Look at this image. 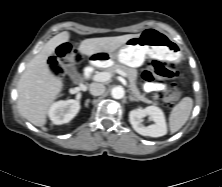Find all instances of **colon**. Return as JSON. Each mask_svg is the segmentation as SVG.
Segmentation results:
<instances>
[{
    "label": "colon",
    "mask_w": 222,
    "mask_h": 187,
    "mask_svg": "<svg viewBox=\"0 0 222 187\" xmlns=\"http://www.w3.org/2000/svg\"><path fill=\"white\" fill-rule=\"evenodd\" d=\"M81 61V54L68 44L59 46L54 55L48 61V67L52 75L61 78L68 66L77 64ZM176 72L167 67L163 62L151 61L142 76L147 82H154L160 79H170L175 77ZM181 96L179 87L175 83L168 86L164 94V100L169 105L176 103Z\"/></svg>",
    "instance_id": "5ec220e1"
}]
</instances>
